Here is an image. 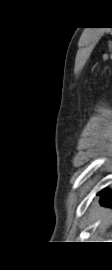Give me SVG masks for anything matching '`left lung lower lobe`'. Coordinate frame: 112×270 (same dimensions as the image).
Masks as SVG:
<instances>
[{"label":"left lung lower lobe","mask_w":112,"mask_h":270,"mask_svg":"<svg viewBox=\"0 0 112 270\" xmlns=\"http://www.w3.org/2000/svg\"><path fill=\"white\" fill-rule=\"evenodd\" d=\"M100 197V204L112 207V190L104 189L97 194Z\"/></svg>","instance_id":"obj_1"}]
</instances>
